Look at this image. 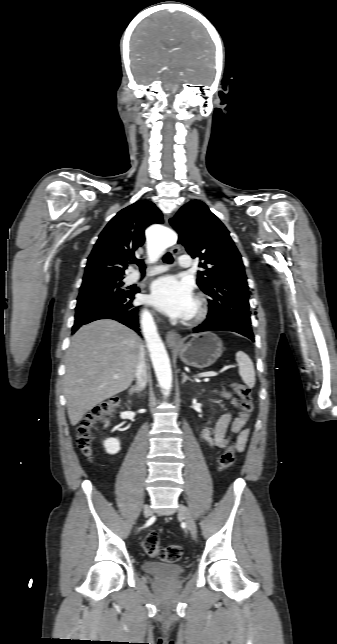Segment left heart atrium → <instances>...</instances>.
Returning a JSON list of instances; mask_svg holds the SVG:
<instances>
[{"mask_svg":"<svg viewBox=\"0 0 337 644\" xmlns=\"http://www.w3.org/2000/svg\"><path fill=\"white\" fill-rule=\"evenodd\" d=\"M150 300L160 311L173 318H187L194 305L191 286L171 275L153 282Z\"/></svg>","mask_w":337,"mask_h":644,"instance_id":"obj_1","label":"left heart atrium"}]
</instances>
